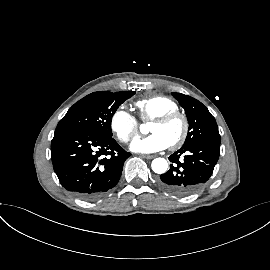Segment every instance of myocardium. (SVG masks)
<instances>
[{"instance_id":"myocardium-1","label":"myocardium","mask_w":270,"mask_h":270,"mask_svg":"<svg viewBox=\"0 0 270 270\" xmlns=\"http://www.w3.org/2000/svg\"><path fill=\"white\" fill-rule=\"evenodd\" d=\"M174 119H180L182 121L183 129L179 138L169 145L171 149H177L181 147L186 141L188 133H189V121L187 117L180 111H172V112H167L165 114H162L156 117L155 119H153V123H158V124H165Z\"/></svg>"}]
</instances>
